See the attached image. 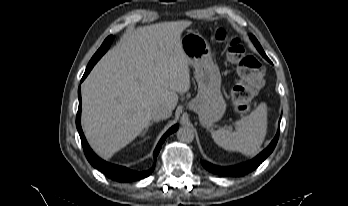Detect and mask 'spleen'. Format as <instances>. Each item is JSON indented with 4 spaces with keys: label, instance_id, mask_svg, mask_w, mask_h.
<instances>
[{
    "label": "spleen",
    "instance_id": "obj_1",
    "mask_svg": "<svg viewBox=\"0 0 348 206\" xmlns=\"http://www.w3.org/2000/svg\"><path fill=\"white\" fill-rule=\"evenodd\" d=\"M236 129L220 128L211 132L214 142L228 151L253 156L259 151L267 133V109L260 104L249 115L235 122Z\"/></svg>",
    "mask_w": 348,
    "mask_h": 206
}]
</instances>
